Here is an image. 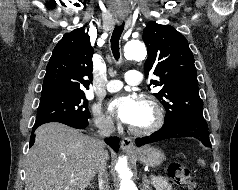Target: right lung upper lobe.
<instances>
[{
	"mask_svg": "<svg viewBox=\"0 0 238 190\" xmlns=\"http://www.w3.org/2000/svg\"><path fill=\"white\" fill-rule=\"evenodd\" d=\"M93 48L83 28L66 33L55 46L46 68L41 97L84 93L92 79Z\"/></svg>",
	"mask_w": 238,
	"mask_h": 190,
	"instance_id": "obj_1",
	"label": "right lung upper lobe"
}]
</instances>
